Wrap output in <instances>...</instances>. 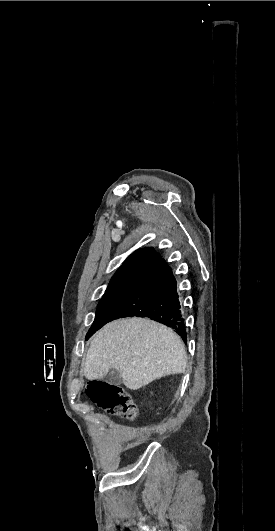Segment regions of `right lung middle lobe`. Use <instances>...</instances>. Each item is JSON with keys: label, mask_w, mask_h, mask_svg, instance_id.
Listing matches in <instances>:
<instances>
[{"label": "right lung middle lobe", "mask_w": 275, "mask_h": 531, "mask_svg": "<svg viewBox=\"0 0 275 531\" xmlns=\"http://www.w3.org/2000/svg\"><path fill=\"white\" fill-rule=\"evenodd\" d=\"M143 271L144 270H131L116 273L112 277L105 294L98 304L95 320L86 335V339L98 330L107 311L139 279Z\"/></svg>", "instance_id": "dd1d6c3e"}]
</instances>
